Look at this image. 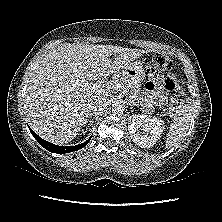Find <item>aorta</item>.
Wrapping results in <instances>:
<instances>
[{"label":"aorta","mask_w":222,"mask_h":222,"mask_svg":"<svg viewBox=\"0 0 222 222\" xmlns=\"http://www.w3.org/2000/svg\"><path fill=\"white\" fill-rule=\"evenodd\" d=\"M124 112V106L120 103H116L112 106V113L114 115H120Z\"/></svg>","instance_id":"762f6f07"}]
</instances>
